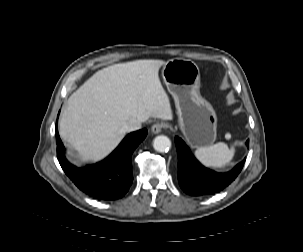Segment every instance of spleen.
Returning a JSON list of instances; mask_svg holds the SVG:
<instances>
[{"mask_svg":"<svg viewBox=\"0 0 303 252\" xmlns=\"http://www.w3.org/2000/svg\"><path fill=\"white\" fill-rule=\"evenodd\" d=\"M235 153L234 146L229 148L223 142L208 147H200L195 151L196 158L205 166L222 168L230 163Z\"/></svg>","mask_w":303,"mask_h":252,"instance_id":"3e777b00","label":"spleen"}]
</instances>
